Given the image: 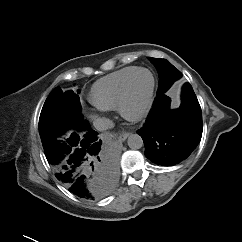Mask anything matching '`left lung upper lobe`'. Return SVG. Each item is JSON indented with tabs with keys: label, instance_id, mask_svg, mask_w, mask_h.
Instances as JSON below:
<instances>
[{
	"label": "left lung upper lobe",
	"instance_id": "left-lung-upper-lobe-1",
	"mask_svg": "<svg viewBox=\"0 0 242 242\" xmlns=\"http://www.w3.org/2000/svg\"><path fill=\"white\" fill-rule=\"evenodd\" d=\"M155 65L159 74L157 95L165 94L171 85L181 78V72L166 59L148 58Z\"/></svg>",
	"mask_w": 242,
	"mask_h": 242
}]
</instances>
